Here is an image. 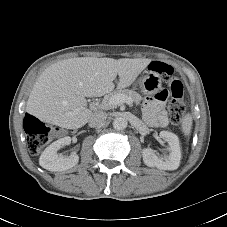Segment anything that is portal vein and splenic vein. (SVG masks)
I'll list each match as a JSON object with an SVG mask.
<instances>
[{
	"mask_svg": "<svg viewBox=\"0 0 227 227\" xmlns=\"http://www.w3.org/2000/svg\"><path fill=\"white\" fill-rule=\"evenodd\" d=\"M123 103H126L128 105H132L133 101H132L131 98L126 97V96L121 95V94H117V95L112 96L108 101V104L110 106H113V107L120 105V104H123Z\"/></svg>",
	"mask_w": 227,
	"mask_h": 227,
	"instance_id": "portal-vein-and-splenic-vein-1",
	"label": "portal vein and splenic vein"
}]
</instances>
